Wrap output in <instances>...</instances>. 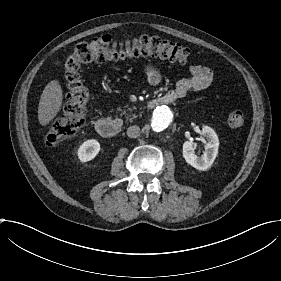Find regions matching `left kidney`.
<instances>
[{
    "mask_svg": "<svg viewBox=\"0 0 281 281\" xmlns=\"http://www.w3.org/2000/svg\"><path fill=\"white\" fill-rule=\"evenodd\" d=\"M202 138L205 142L206 151L201 157L195 153V146L192 141H185L183 143V157L185 161L193 168L205 171L214 162L219 148V140L216 133L209 127L202 129Z\"/></svg>",
    "mask_w": 281,
    "mask_h": 281,
    "instance_id": "obj_1",
    "label": "left kidney"
}]
</instances>
